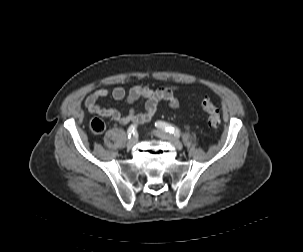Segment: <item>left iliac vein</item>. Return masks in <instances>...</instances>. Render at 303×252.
Listing matches in <instances>:
<instances>
[{"mask_svg": "<svg viewBox=\"0 0 303 252\" xmlns=\"http://www.w3.org/2000/svg\"><path fill=\"white\" fill-rule=\"evenodd\" d=\"M156 135L161 139L169 141L173 145V147H175L177 150H182L183 148L182 143L176 138H174L171 134L167 133L166 131L158 130L156 131Z\"/></svg>", "mask_w": 303, "mask_h": 252, "instance_id": "1", "label": "left iliac vein"}]
</instances>
